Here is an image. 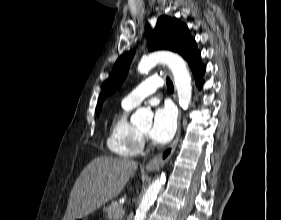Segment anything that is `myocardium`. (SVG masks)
I'll use <instances>...</instances> for the list:
<instances>
[{
  "instance_id": "1",
  "label": "myocardium",
  "mask_w": 281,
  "mask_h": 220,
  "mask_svg": "<svg viewBox=\"0 0 281 220\" xmlns=\"http://www.w3.org/2000/svg\"><path fill=\"white\" fill-rule=\"evenodd\" d=\"M141 136L143 137L145 134L143 132H140Z\"/></svg>"
}]
</instances>
